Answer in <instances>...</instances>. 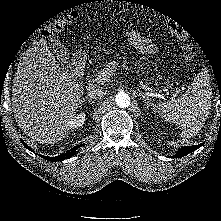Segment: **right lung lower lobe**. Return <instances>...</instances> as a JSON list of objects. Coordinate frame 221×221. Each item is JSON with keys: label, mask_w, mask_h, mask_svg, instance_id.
<instances>
[{"label": "right lung lower lobe", "mask_w": 221, "mask_h": 221, "mask_svg": "<svg viewBox=\"0 0 221 221\" xmlns=\"http://www.w3.org/2000/svg\"><path fill=\"white\" fill-rule=\"evenodd\" d=\"M23 145L30 151H32V149L27 145L25 144L24 142H22ZM84 144H81L79 146H75L74 148L70 149L69 151H67L66 153L64 154H61L59 156H56V157H48V156H42L44 159L48 160V161H51V162H56V161H61V160H64V159H67V158H70L71 156L75 155L76 154V150L83 146ZM34 152V151H33ZM41 156V155H40Z\"/></svg>", "instance_id": "obj_1"}]
</instances>
